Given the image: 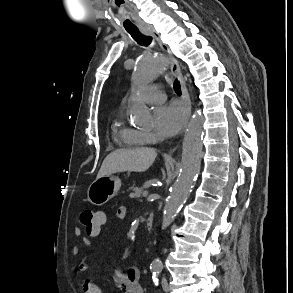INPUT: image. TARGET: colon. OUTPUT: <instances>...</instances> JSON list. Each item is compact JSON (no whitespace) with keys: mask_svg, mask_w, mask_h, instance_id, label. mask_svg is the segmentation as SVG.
I'll return each mask as SVG.
<instances>
[{"mask_svg":"<svg viewBox=\"0 0 293 293\" xmlns=\"http://www.w3.org/2000/svg\"><path fill=\"white\" fill-rule=\"evenodd\" d=\"M80 221L89 232L96 231L101 225V217L98 215V212L91 209H84L81 212ZM92 293H100V289L94 286Z\"/></svg>","mask_w":293,"mask_h":293,"instance_id":"5ec220e1","label":"colon"}]
</instances>
